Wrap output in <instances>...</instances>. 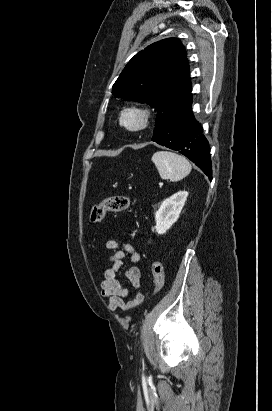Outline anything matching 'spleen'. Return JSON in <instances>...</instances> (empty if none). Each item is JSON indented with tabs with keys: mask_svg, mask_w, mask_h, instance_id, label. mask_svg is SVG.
I'll return each mask as SVG.
<instances>
[{
	"mask_svg": "<svg viewBox=\"0 0 272 411\" xmlns=\"http://www.w3.org/2000/svg\"><path fill=\"white\" fill-rule=\"evenodd\" d=\"M162 179H169L177 182L185 178L192 169L190 162L184 157L174 152L157 151L152 156Z\"/></svg>",
	"mask_w": 272,
	"mask_h": 411,
	"instance_id": "spleen-1",
	"label": "spleen"
}]
</instances>
